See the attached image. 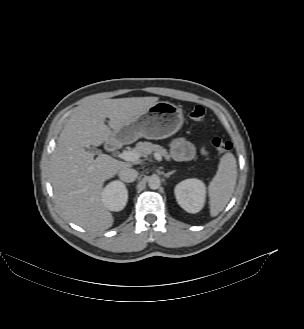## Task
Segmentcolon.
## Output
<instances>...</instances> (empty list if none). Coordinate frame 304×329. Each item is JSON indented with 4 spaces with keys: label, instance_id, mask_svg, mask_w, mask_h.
Returning a JSON list of instances; mask_svg holds the SVG:
<instances>
[{
    "label": "colon",
    "instance_id": "5ec220e1",
    "mask_svg": "<svg viewBox=\"0 0 304 329\" xmlns=\"http://www.w3.org/2000/svg\"><path fill=\"white\" fill-rule=\"evenodd\" d=\"M190 117L194 121L202 123L205 121L206 111L202 106H195L190 112ZM212 144L221 155L229 153L232 148V144L228 140L219 136L213 138Z\"/></svg>",
    "mask_w": 304,
    "mask_h": 329
}]
</instances>
